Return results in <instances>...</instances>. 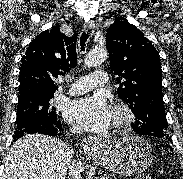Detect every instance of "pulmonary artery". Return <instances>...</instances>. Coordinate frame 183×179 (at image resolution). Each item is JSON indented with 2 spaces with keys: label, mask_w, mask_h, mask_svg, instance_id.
Listing matches in <instances>:
<instances>
[{
  "label": "pulmonary artery",
  "mask_w": 183,
  "mask_h": 179,
  "mask_svg": "<svg viewBox=\"0 0 183 179\" xmlns=\"http://www.w3.org/2000/svg\"><path fill=\"white\" fill-rule=\"evenodd\" d=\"M107 81V73L104 71H95L92 74L83 76L72 82L69 94L77 95L85 93L95 87L102 86Z\"/></svg>",
  "instance_id": "1"
}]
</instances>
